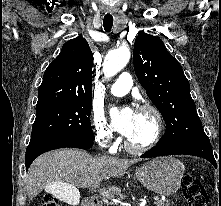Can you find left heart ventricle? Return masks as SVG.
Here are the masks:
<instances>
[{"label": "left heart ventricle", "instance_id": "b2bd125f", "mask_svg": "<svg viewBox=\"0 0 221 206\" xmlns=\"http://www.w3.org/2000/svg\"><path fill=\"white\" fill-rule=\"evenodd\" d=\"M154 123L151 115L144 112H136L135 124L128 140L135 145L147 142L153 133Z\"/></svg>", "mask_w": 221, "mask_h": 206}]
</instances>
